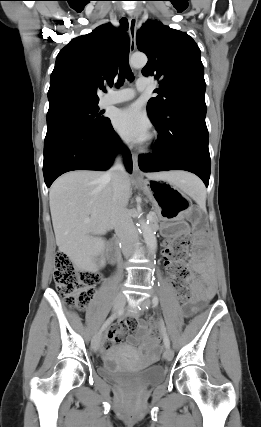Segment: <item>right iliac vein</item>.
<instances>
[{"label":"right iliac vein","mask_w":261,"mask_h":427,"mask_svg":"<svg viewBox=\"0 0 261 427\" xmlns=\"http://www.w3.org/2000/svg\"><path fill=\"white\" fill-rule=\"evenodd\" d=\"M125 303H126V297L122 293H119L114 300L113 312L119 311L121 308H123ZM100 341H101V333L98 332L94 335V337L92 338V341H91V347H92L93 351L98 350L99 345H100Z\"/></svg>","instance_id":"1"}]
</instances>
